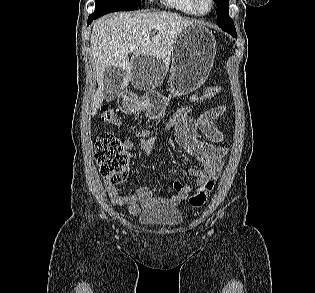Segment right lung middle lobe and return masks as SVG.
Wrapping results in <instances>:
<instances>
[{
  "label": "right lung middle lobe",
  "mask_w": 315,
  "mask_h": 293,
  "mask_svg": "<svg viewBox=\"0 0 315 293\" xmlns=\"http://www.w3.org/2000/svg\"><path fill=\"white\" fill-rule=\"evenodd\" d=\"M96 6L110 5L123 11L135 10L140 0H95Z\"/></svg>",
  "instance_id": "1"
}]
</instances>
